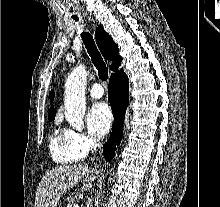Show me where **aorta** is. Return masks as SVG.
<instances>
[{"label":"aorta","mask_w":220,"mask_h":207,"mask_svg":"<svg viewBox=\"0 0 220 207\" xmlns=\"http://www.w3.org/2000/svg\"><path fill=\"white\" fill-rule=\"evenodd\" d=\"M86 81V68L79 65L68 75L65 82V118L69 125L78 131L84 128L83 119L86 110Z\"/></svg>","instance_id":"aorta-1"}]
</instances>
